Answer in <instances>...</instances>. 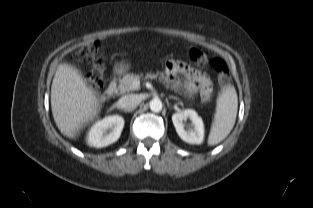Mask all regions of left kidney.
I'll use <instances>...</instances> for the list:
<instances>
[{"label": "left kidney", "mask_w": 313, "mask_h": 208, "mask_svg": "<svg viewBox=\"0 0 313 208\" xmlns=\"http://www.w3.org/2000/svg\"><path fill=\"white\" fill-rule=\"evenodd\" d=\"M191 120L190 125H185L183 121ZM172 121L179 137L190 144H201L204 140V124L196 111L186 109L173 114Z\"/></svg>", "instance_id": "1"}]
</instances>
